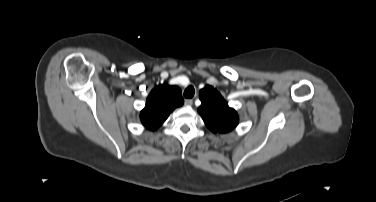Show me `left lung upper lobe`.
<instances>
[{"instance_id": "1", "label": "left lung upper lobe", "mask_w": 376, "mask_h": 202, "mask_svg": "<svg viewBox=\"0 0 376 202\" xmlns=\"http://www.w3.org/2000/svg\"><path fill=\"white\" fill-rule=\"evenodd\" d=\"M199 98L202 104L198 108V113L213 133H227L238 125L236 111L228 106L221 94L212 86L206 85L200 90Z\"/></svg>"}]
</instances>
